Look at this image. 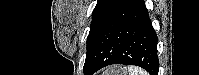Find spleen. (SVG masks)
I'll return each instance as SVG.
<instances>
[{"label":"spleen","mask_w":199,"mask_h":75,"mask_svg":"<svg viewBox=\"0 0 199 75\" xmlns=\"http://www.w3.org/2000/svg\"><path fill=\"white\" fill-rule=\"evenodd\" d=\"M128 72H129V75H147L145 71L137 67H129Z\"/></svg>","instance_id":"3e777b00"}]
</instances>
